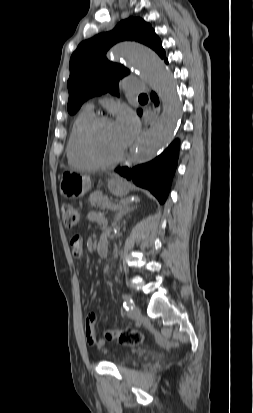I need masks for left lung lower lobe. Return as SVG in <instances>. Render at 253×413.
I'll use <instances>...</instances> for the list:
<instances>
[{
    "instance_id": "1",
    "label": "left lung lower lobe",
    "mask_w": 253,
    "mask_h": 413,
    "mask_svg": "<svg viewBox=\"0 0 253 413\" xmlns=\"http://www.w3.org/2000/svg\"><path fill=\"white\" fill-rule=\"evenodd\" d=\"M168 63L167 59L165 60ZM151 99L158 104L155 93H151ZM139 110L138 114L141 115ZM179 153V140L176 139L163 153L154 160L138 165L133 169L119 168L117 172L133 181L136 185L149 189L157 197L160 203H164L171 186Z\"/></svg>"
}]
</instances>
